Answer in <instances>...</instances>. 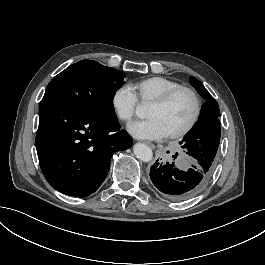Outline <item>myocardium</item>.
<instances>
[{"label": "myocardium", "mask_w": 265, "mask_h": 265, "mask_svg": "<svg viewBox=\"0 0 265 265\" xmlns=\"http://www.w3.org/2000/svg\"><path fill=\"white\" fill-rule=\"evenodd\" d=\"M180 94H187L188 96H190V98L193 101L194 109H193L191 119L185 127H183L182 129L176 132L166 134V137L170 139L181 138L187 135L197 124L200 118V115H201V111H202L201 101H200V98L197 92L190 87L181 86V87H178L176 89L169 91L168 93H166L165 95H163L162 97H160L159 99H157L156 101L150 104L156 108H163L171 100H173L176 96Z\"/></svg>", "instance_id": "f54148a6"}]
</instances>
